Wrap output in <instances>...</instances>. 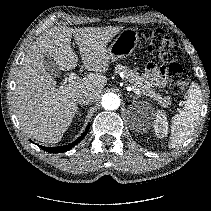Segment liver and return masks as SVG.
Masks as SVG:
<instances>
[{
  "mask_svg": "<svg viewBox=\"0 0 211 211\" xmlns=\"http://www.w3.org/2000/svg\"><path fill=\"white\" fill-rule=\"evenodd\" d=\"M122 27L69 28L55 26L31 45L17 73L13 107L25 133L42 143H58L77 114V97L82 92L99 96L107 83L111 57L107 43ZM79 47L82 63L94 71L69 85L57 87L46 71L43 56L53 58L59 70L69 71L78 63L71 39Z\"/></svg>",
  "mask_w": 211,
  "mask_h": 211,
  "instance_id": "obj_1",
  "label": "liver"
}]
</instances>
